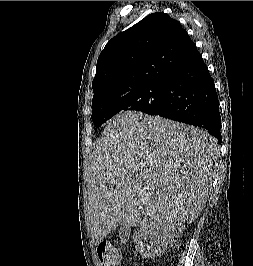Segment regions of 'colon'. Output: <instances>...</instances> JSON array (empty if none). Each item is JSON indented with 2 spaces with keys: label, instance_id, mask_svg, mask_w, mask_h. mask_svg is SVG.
I'll use <instances>...</instances> for the list:
<instances>
[{
  "label": "colon",
  "instance_id": "5ec220e1",
  "mask_svg": "<svg viewBox=\"0 0 253 266\" xmlns=\"http://www.w3.org/2000/svg\"><path fill=\"white\" fill-rule=\"evenodd\" d=\"M96 253L101 266H118L122 260L120 249L108 241L99 243Z\"/></svg>",
  "mask_w": 253,
  "mask_h": 266
}]
</instances>
